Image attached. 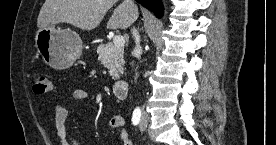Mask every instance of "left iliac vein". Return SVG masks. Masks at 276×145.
Returning <instances> with one entry per match:
<instances>
[{
	"mask_svg": "<svg viewBox=\"0 0 276 145\" xmlns=\"http://www.w3.org/2000/svg\"><path fill=\"white\" fill-rule=\"evenodd\" d=\"M148 120H149L148 115L147 114H143L141 122H140V125H139V129L141 131H144L146 129L147 124H148Z\"/></svg>",
	"mask_w": 276,
	"mask_h": 145,
	"instance_id": "left-iliac-vein-1",
	"label": "left iliac vein"
}]
</instances>
